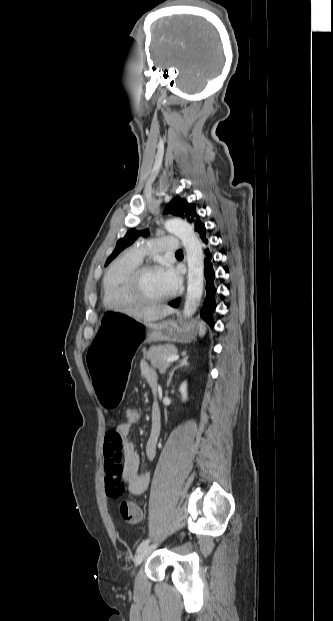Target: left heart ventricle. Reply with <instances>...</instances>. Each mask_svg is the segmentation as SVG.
Wrapping results in <instances>:
<instances>
[{"mask_svg":"<svg viewBox=\"0 0 333 621\" xmlns=\"http://www.w3.org/2000/svg\"><path fill=\"white\" fill-rule=\"evenodd\" d=\"M139 292L147 298H160L169 294L158 270L144 273L139 279Z\"/></svg>","mask_w":333,"mask_h":621,"instance_id":"1","label":"left heart ventricle"}]
</instances>
